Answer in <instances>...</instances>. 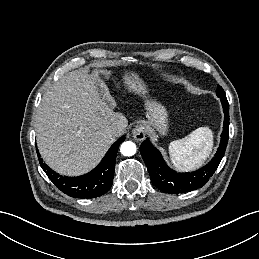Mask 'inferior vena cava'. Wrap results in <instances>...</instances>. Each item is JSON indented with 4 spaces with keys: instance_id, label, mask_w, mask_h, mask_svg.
Returning <instances> with one entry per match:
<instances>
[{
    "instance_id": "602c4592",
    "label": "inferior vena cava",
    "mask_w": 259,
    "mask_h": 259,
    "mask_svg": "<svg viewBox=\"0 0 259 259\" xmlns=\"http://www.w3.org/2000/svg\"><path fill=\"white\" fill-rule=\"evenodd\" d=\"M110 130L114 135H120L123 133V127L120 124H113L110 127Z\"/></svg>"
}]
</instances>
